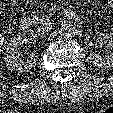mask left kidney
Masks as SVG:
<instances>
[{
	"mask_svg": "<svg viewBox=\"0 0 113 113\" xmlns=\"http://www.w3.org/2000/svg\"><path fill=\"white\" fill-rule=\"evenodd\" d=\"M97 40L108 45L105 56L99 53L89 54L88 61L98 68L113 67V36L107 33H100Z\"/></svg>",
	"mask_w": 113,
	"mask_h": 113,
	"instance_id": "obj_1",
	"label": "left kidney"
}]
</instances>
